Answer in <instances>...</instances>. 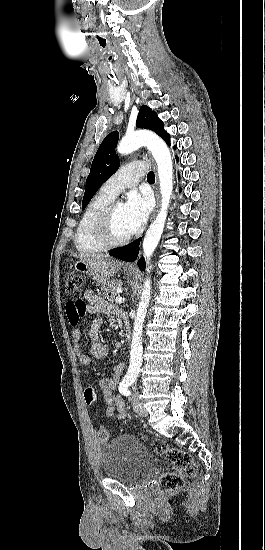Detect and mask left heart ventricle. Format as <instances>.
<instances>
[{"mask_svg":"<svg viewBox=\"0 0 265 550\" xmlns=\"http://www.w3.org/2000/svg\"><path fill=\"white\" fill-rule=\"evenodd\" d=\"M112 231L115 237H124L131 234L125 216L124 206L116 204L112 217Z\"/></svg>","mask_w":265,"mask_h":550,"instance_id":"b2bd125f","label":"left heart ventricle"}]
</instances>
